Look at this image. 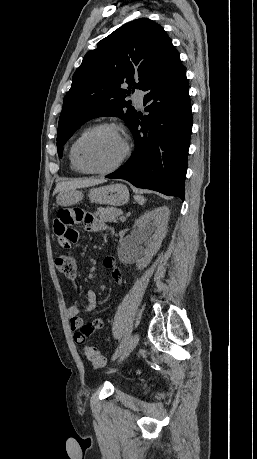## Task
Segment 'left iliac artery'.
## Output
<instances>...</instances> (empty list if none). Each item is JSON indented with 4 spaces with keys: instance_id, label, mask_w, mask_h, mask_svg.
I'll list each match as a JSON object with an SVG mask.
<instances>
[{
    "instance_id": "obj_1",
    "label": "left iliac artery",
    "mask_w": 257,
    "mask_h": 459,
    "mask_svg": "<svg viewBox=\"0 0 257 459\" xmlns=\"http://www.w3.org/2000/svg\"><path fill=\"white\" fill-rule=\"evenodd\" d=\"M128 341V338H125L122 340V342L119 344V346L117 347L115 353L113 354L112 356V360H115L124 350L125 346H126V343Z\"/></svg>"
}]
</instances>
